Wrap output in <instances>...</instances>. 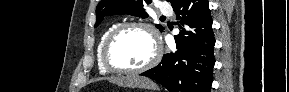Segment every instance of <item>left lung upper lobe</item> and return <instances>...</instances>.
I'll return each mask as SVG.
<instances>
[{
  "label": "left lung upper lobe",
  "instance_id": "5c2ea615",
  "mask_svg": "<svg viewBox=\"0 0 289 92\" xmlns=\"http://www.w3.org/2000/svg\"><path fill=\"white\" fill-rule=\"evenodd\" d=\"M174 2V0H167ZM151 0H101L96 7V24L97 27L106 15L114 14H129L133 16H138L141 18H147L144 7L151 3ZM156 27L162 32L164 27L161 25H156Z\"/></svg>",
  "mask_w": 289,
  "mask_h": 92
}]
</instances>
